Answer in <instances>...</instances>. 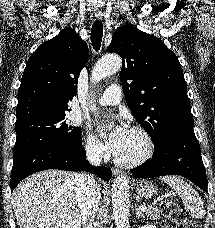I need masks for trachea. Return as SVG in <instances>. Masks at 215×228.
<instances>
[{"mask_svg":"<svg viewBox=\"0 0 215 228\" xmlns=\"http://www.w3.org/2000/svg\"><path fill=\"white\" fill-rule=\"evenodd\" d=\"M103 36V24L101 21H95L91 30V42L93 48L98 51L101 46Z\"/></svg>","mask_w":215,"mask_h":228,"instance_id":"3493384b","label":"trachea"}]
</instances>
